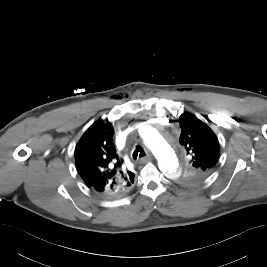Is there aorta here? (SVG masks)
<instances>
[{
  "label": "aorta",
  "mask_w": 267,
  "mask_h": 267,
  "mask_svg": "<svg viewBox=\"0 0 267 267\" xmlns=\"http://www.w3.org/2000/svg\"><path fill=\"white\" fill-rule=\"evenodd\" d=\"M144 143L155 154L165 176L177 180L181 175V167L171 146L153 128L147 131Z\"/></svg>",
  "instance_id": "aorta-1"
}]
</instances>
